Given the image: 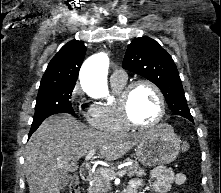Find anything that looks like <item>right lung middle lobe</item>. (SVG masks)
<instances>
[{"instance_id": "dd1d6c3e", "label": "right lung middle lobe", "mask_w": 221, "mask_h": 193, "mask_svg": "<svg viewBox=\"0 0 221 193\" xmlns=\"http://www.w3.org/2000/svg\"><path fill=\"white\" fill-rule=\"evenodd\" d=\"M74 86L39 88L33 121L35 122L50 115L63 112L74 115L75 112L70 101Z\"/></svg>"}]
</instances>
